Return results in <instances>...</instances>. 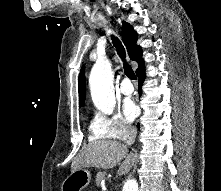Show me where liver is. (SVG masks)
<instances>
[{
    "mask_svg": "<svg viewBox=\"0 0 221 191\" xmlns=\"http://www.w3.org/2000/svg\"><path fill=\"white\" fill-rule=\"evenodd\" d=\"M117 176L127 174L132 168L136 157L128 154L127 146L115 140H100L84 146L75 157L71 171L86 167L111 169L121 160Z\"/></svg>",
    "mask_w": 221,
    "mask_h": 191,
    "instance_id": "1",
    "label": "liver"
}]
</instances>
